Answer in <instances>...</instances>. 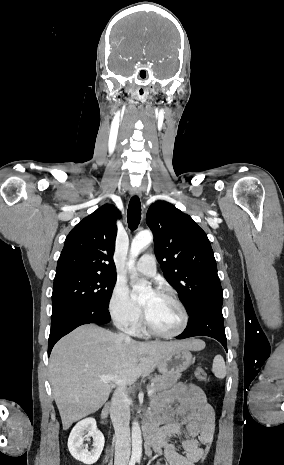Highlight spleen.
Segmentation results:
<instances>
[{
	"label": "spleen",
	"mask_w": 284,
	"mask_h": 465,
	"mask_svg": "<svg viewBox=\"0 0 284 465\" xmlns=\"http://www.w3.org/2000/svg\"><path fill=\"white\" fill-rule=\"evenodd\" d=\"M212 371L217 379H225L226 377V365L221 355H216L213 359Z\"/></svg>",
	"instance_id": "spleen-1"
}]
</instances>
